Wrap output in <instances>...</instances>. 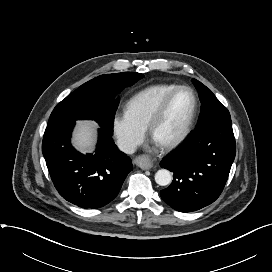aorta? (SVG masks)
Instances as JSON below:
<instances>
[{"instance_id": "762f6f07", "label": "aorta", "mask_w": 272, "mask_h": 272, "mask_svg": "<svg viewBox=\"0 0 272 272\" xmlns=\"http://www.w3.org/2000/svg\"><path fill=\"white\" fill-rule=\"evenodd\" d=\"M155 181L160 186L169 185L172 181V175L170 171L166 169L158 170L155 174Z\"/></svg>"}]
</instances>
